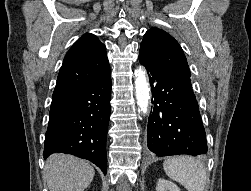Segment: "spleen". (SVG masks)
<instances>
[{"label":"spleen","instance_id":"obj_1","mask_svg":"<svg viewBox=\"0 0 251 191\" xmlns=\"http://www.w3.org/2000/svg\"><path fill=\"white\" fill-rule=\"evenodd\" d=\"M163 167L171 179L182 183L188 191H204L207 173L199 159L191 155H176V157H167Z\"/></svg>","mask_w":251,"mask_h":191}]
</instances>
